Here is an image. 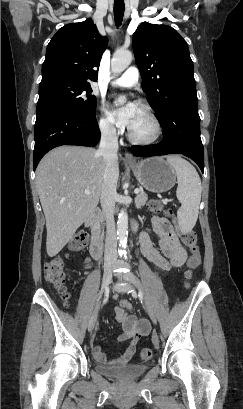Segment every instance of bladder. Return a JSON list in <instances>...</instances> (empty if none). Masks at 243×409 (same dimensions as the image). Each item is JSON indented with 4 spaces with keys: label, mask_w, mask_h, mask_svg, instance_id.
<instances>
[{
    "label": "bladder",
    "mask_w": 243,
    "mask_h": 409,
    "mask_svg": "<svg viewBox=\"0 0 243 409\" xmlns=\"http://www.w3.org/2000/svg\"><path fill=\"white\" fill-rule=\"evenodd\" d=\"M148 365L139 364H123V365H102L96 364V371L104 376L112 377L120 381H130L141 377L146 373Z\"/></svg>",
    "instance_id": "1"
}]
</instances>
